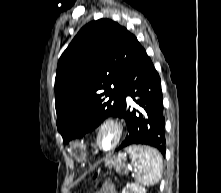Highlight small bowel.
<instances>
[{"mask_svg": "<svg viewBox=\"0 0 221 193\" xmlns=\"http://www.w3.org/2000/svg\"><path fill=\"white\" fill-rule=\"evenodd\" d=\"M96 193H117V190L113 184L107 183L104 184Z\"/></svg>", "mask_w": 221, "mask_h": 193, "instance_id": "small-bowel-1", "label": "small bowel"}]
</instances>
